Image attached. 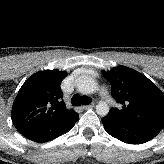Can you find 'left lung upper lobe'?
Here are the masks:
<instances>
[{
    "label": "left lung upper lobe",
    "mask_w": 164,
    "mask_h": 164,
    "mask_svg": "<svg viewBox=\"0 0 164 164\" xmlns=\"http://www.w3.org/2000/svg\"><path fill=\"white\" fill-rule=\"evenodd\" d=\"M112 85L119 107L110 113L128 123L161 131L164 128V93L145 75L125 66L102 71Z\"/></svg>",
    "instance_id": "obj_1"
}]
</instances>
